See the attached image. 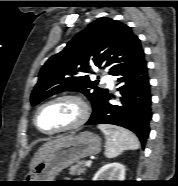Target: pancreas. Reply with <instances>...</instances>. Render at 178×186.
<instances>
[{
    "label": "pancreas",
    "instance_id": "1",
    "mask_svg": "<svg viewBox=\"0 0 178 186\" xmlns=\"http://www.w3.org/2000/svg\"><path fill=\"white\" fill-rule=\"evenodd\" d=\"M86 171L85 161H80L76 165L71 166L69 169L70 175H81Z\"/></svg>",
    "mask_w": 178,
    "mask_h": 186
}]
</instances>
